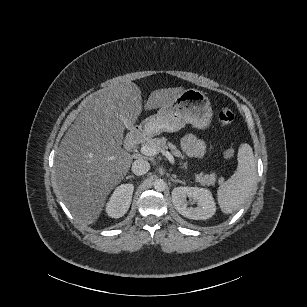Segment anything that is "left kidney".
<instances>
[{
  "mask_svg": "<svg viewBox=\"0 0 307 307\" xmlns=\"http://www.w3.org/2000/svg\"><path fill=\"white\" fill-rule=\"evenodd\" d=\"M187 196L196 200L201 205V208L187 207ZM172 200L177 211L190 219L205 220L212 217L217 211V204L213 193L206 187H175L172 190Z\"/></svg>",
  "mask_w": 307,
  "mask_h": 307,
  "instance_id": "5707ae66",
  "label": "left kidney"
}]
</instances>
